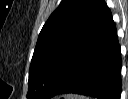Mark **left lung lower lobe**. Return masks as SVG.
Returning <instances> with one entry per match:
<instances>
[{"label": "left lung lower lobe", "instance_id": "left-lung-lower-lobe-1", "mask_svg": "<svg viewBox=\"0 0 128 99\" xmlns=\"http://www.w3.org/2000/svg\"><path fill=\"white\" fill-rule=\"evenodd\" d=\"M121 53L109 9L85 43L59 71L47 99L75 93L100 99H120Z\"/></svg>", "mask_w": 128, "mask_h": 99}]
</instances>
